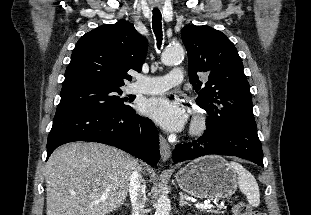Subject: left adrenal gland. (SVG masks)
<instances>
[{
	"label": "left adrenal gland",
	"instance_id": "1",
	"mask_svg": "<svg viewBox=\"0 0 311 215\" xmlns=\"http://www.w3.org/2000/svg\"><path fill=\"white\" fill-rule=\"evenodd\" d=\"M185 205L190 206V207L192 206L189 202H187V201L185 200L183 194L180 193L179 206H180V208H182V207L185 206Z\"/></svg>",
	"mask_w": 311,
	"mask_h": 215
}]
</instances>
